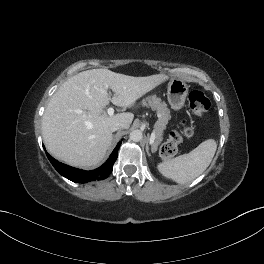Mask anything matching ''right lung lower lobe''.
<instances>
[{"label":"right lung lower lobe","mask_w":264,"mask_h":264,"mask_svg":"<svg viewBox=\"0 0 264 264\" xmlns=\"http://www.w3.org/2000/svg\"><path fill=\"white\" fill-rule=\"evenodd\" d=\"M120 145H121V141L117 144V146L111 153L109 159L101 167L92 171H84L81 169L70 167L55 160L47 152L46 154L51 164L62 176L73 182L86 183L89 181L106 179L111 174L113 170V165L117 159L118 149Z\"/></svg>","instance_id":"right-lung-lower-lobe-1"}]
</instances>
